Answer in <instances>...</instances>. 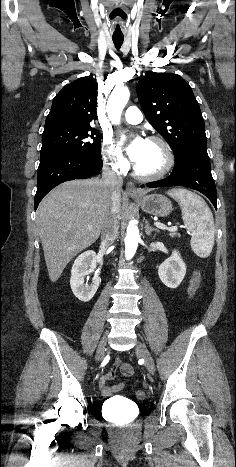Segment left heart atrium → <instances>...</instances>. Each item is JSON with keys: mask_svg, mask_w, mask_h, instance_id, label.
Returning a JSON list of instances; mask_svg holds the SVG:
<instances>
[{"mask_svg": "<svg viewBox=\"0 0 236 467\" xmlns=\"http://www.w3.org/2000/svg\"><path fill=\"white\" fill-rule=\"evenodd\" d=\"M125 140V136H121V143H123ZM147 140L144 139L141 136H136L125 148L129 158L133 162H138L139 159L141 158L145 145H146Z\"/></svg>", "mask_w": 236, "mask_h": 467, "instance_id": "left-heart-atrium-1", "label": "left heart atrium"}]
</instances>
